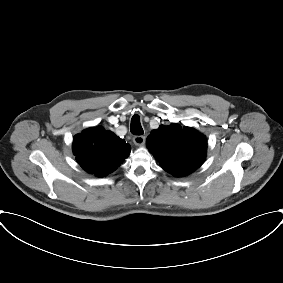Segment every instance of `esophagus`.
Returning a JSON list of instances; mask_svg holds the SVG:
<instances>
[{
	"instance_id": "1",
	"label": "esophagus",
	"mask_w": 283,
	"mask_h": 283,
	"mask_svg": "<svg viewBox=\"0 0 283 283\" xmlns=\"http://www.w3.org/2000/svg\"><path fill=\"white\" fill-rule=\"evenodd\" d=\"M133 143L136 146H142L145 143V137L141 136V135H136V136L133 137Z\"/></svg>"
}]
</instances>
